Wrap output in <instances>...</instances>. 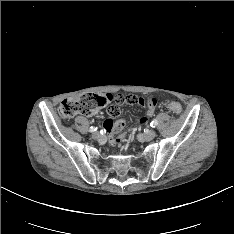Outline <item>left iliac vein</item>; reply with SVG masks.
Here are the masks:
<instances>
[{"instance_id": "obj_1", "label": "left iliac vein", "mask_w": 234, "mask_h": 234, "mask_svg": "<svg viewBox=\"0 0 234 234\" xmlns=\"http://www.w3.org/2000/svg\"><path fill=\"white\" fill-rule=\"evenodd\" d=\"M155 136H156V132L154 130H150L146 132L145 134L141 135L144 141H151L155 138Z\"/></svg>"}]
</instances>
